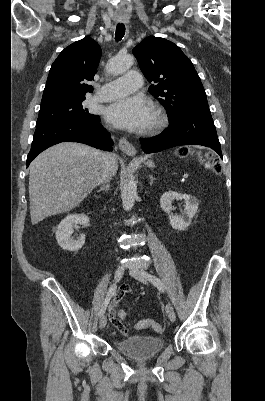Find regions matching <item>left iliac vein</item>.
Returning a JSON list of instances; mask_svg holds the SVG:
<instances>
[{
    "label": "left iliac vein",
    "mask_w": 265,
    "mask_h": 401,
    "mask_svg": "<svg viewBox=\"0 0 265 401\" xmlns=\"http://www.w3.org/2000/svg\"><path fill=\"white\" fill-rule=\"evenodd\" d=\"M130 274L137 280L141 281L142 283H147L148 281H150V275L149 273L139 270L137 267L133 266L130 269ZM167 315L168 318L171 322H175L176 320V315L175 312L172 308H168L167 309Z\"/></svg>",
    "instance_id": "left-iliac-vein-1"
}]
</instances>
